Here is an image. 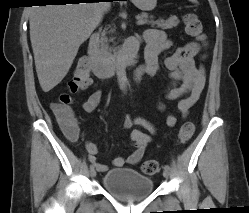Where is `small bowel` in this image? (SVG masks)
Instances as JSON below:
<instances>
[{
    "instance_id": "1",
    "label": "small bowel",
    "mask_w": 249,
    "mask_h": 213,
    "mask_svg": "<svg viewBox=\"0 0 249 213\" xmlns=\"http://www.w3.org/2000/svg\"><path fill=\"white\" fill-rule=\"evenodd\" d=\"M141 40L146 43V60L145 63L137 69L136 74L140 73L141 76L148 75L154 77L161 69L159 55L170 47L171 42L163 31L157 29H147ZM198 52V43L189 42L183 47L178 48L164 61L165 68L167 69L171 80L170 86L166 91V99L178 100L177 109L183 118L189 114L191 107L199 100L205 85V68L203 66H197L194 60ZM179 83H181V85H178ZM101 98V90H96L91 93L83 102L82 107L84 111L88 113L93 112L100 103ZM158 108L161 111H164L166 105L160 101L158 103ZM166 123L169 127H174L177 123L176 115L169 114ZM122 125L124 129H130L132 126L138 125L152 134L157 131L156 127L151 122L142 117L127 116L123 120ZM61 126L70 140L75 141L77 139L79 125L75 119L71 126H65L63 124H61ZM129 139L134 145V151L127 158L120 156L114 158L113 164L115 167H123L125 164H137L142 159L147 145L152 140L150 135L138 129L130 131ZM86 150L88 152L89 160L96 166L97 170L101 172L107 171L108 168L106 165L97 162V145L93 142H87Z\"/></svg>"
}]
</instances>
